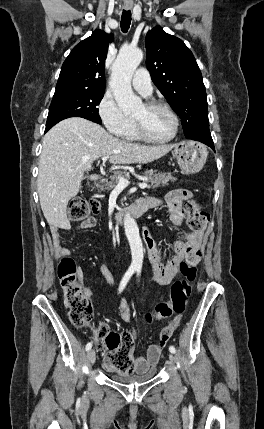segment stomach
I'll use <instances>...</instances> for the list:
<instances>
[{"mask_svg": "<svg viewBox=\"0 0 264 429\" xmlns=\"http://www.w3.org/2000/svg\"><path fill=\"white\" fill-rule=\"evenodd\" d=\"M173 154L183 174L199 172L207 159L206 147L193 141H183L175 144Z\"/></svg>", "mask_w": 264, "mask_h": 429, "instance_id": "1", "label": "stomach"}]
</instances>
